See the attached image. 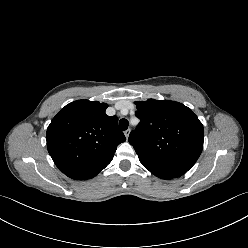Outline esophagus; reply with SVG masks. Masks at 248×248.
Segmentation results:
<instances>
[{
    "instance_id": "34e87169",
    "label": "esophagus",
    "mask_w": 248,
    "mask_h": 248,
    "mask_svg": "<svg viewBox=\"0 0 248 248\" xmlns=\"http://www.w3.org/2000/svg\"><path fill=\"white\" fill-rule=\"evenodd\" d=\"M129 134H130V129H127L126 131H124V135H125L126 139H128Z\"/></svg>"
}]
</instances>
